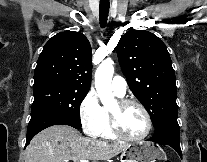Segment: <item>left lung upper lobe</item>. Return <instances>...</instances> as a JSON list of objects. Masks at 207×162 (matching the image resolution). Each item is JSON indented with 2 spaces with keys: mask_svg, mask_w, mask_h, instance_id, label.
Segmentation results:
<instances>
[{
  "mask_svg": "<svg viewBox=\"0 0 207 162\" xmlns=\"http://www.w3.org/2000/svg\"><path fill=\"white\" fill-rule=\"evenodd\" d=\"M121 68L154 127L177 119L176 78L165 44L153 33L129 30L117 45Z\"/></svg>",
  "mask_w": 207,
  "mask_h": 162,
  "instance_id": "1",
  "label": "left lung upper lobe"
}]
</instances>
